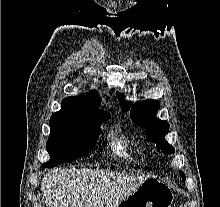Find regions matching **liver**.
<instances>
[{
  "label": "liver",
  "mask_w": 220,
  "mask_h": 207,
  "mask_svg": "<svg viewBox=\"0 0 220 207\" xmlns=\"http://www.w3.org/2000/svg\"><path fill=\"white\" fill-rule=\"evenodd\" d=\"M143 181L114 171L60 168L43 177L41 190L47 207H116Z\"/></svg>",
  "instance_id": "1"
}]
</instances>
